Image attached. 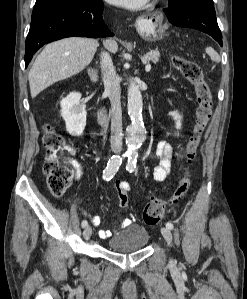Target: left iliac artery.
<instances>
[{"instance_id":"obj_1","label":"left iliac artery","mask_w":247,"mask_h":299,"mask_svg":"<svg viewBox=\"0 0 247 299\" xmlns=\"http://www.w3.org/2000/svg\"><path fill=\"white\" fill-rule=\"evenodd\" d=\"M136 162H137L136 155H128L126 170H128L129 172H133L136 167ZM166 227L169 229H173V224L171 222H167Z\"/></svg>"}]
</instances>
